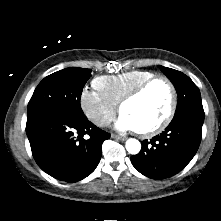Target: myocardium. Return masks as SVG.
<instances>
[{"label": "myocardium", "mask_w": 221, "mask_h": 221, "mask_svg": "<svg viewBox=\"0 0 221 221\" xmlns=\"http://www.w3.org/2000/svg\"><path fill=\"white\" fill-rule=\"evenodd\" d=\"M156 82H163L167 86L170 93L169 107L166 115L158 124L145 130H137L138 134L143 137L155 136L164 131L171 123L177 108V91L173 82L164 75H155L137 85L134 89L128 92L119 102V111L122 112L125 104L141 96L152 84Z\"/></svg>", "instance_id": "1"}]
</instances>
